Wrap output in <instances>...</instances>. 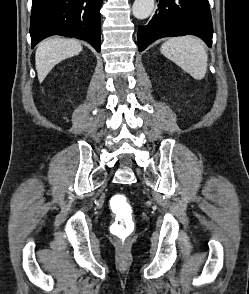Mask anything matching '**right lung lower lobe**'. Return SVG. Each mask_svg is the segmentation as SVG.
<instances>
[{
  "label": "right lung lower lobe",
  "mask_w": 249,
  "mask_h": 294,
  "mask_svg": "<svg viewBox=\"0 0 249 294\" xmlns=\"http://www.w3.org/2000/svg\"><path fill=\"white\" fill-rule=\"evenodd\" d=\"M103 0H33L30 35L32 48L51 35L88 41L101 46L100 8Z\"/></svg>",
  "instance_id": "obj_1"
}]
</instances>
